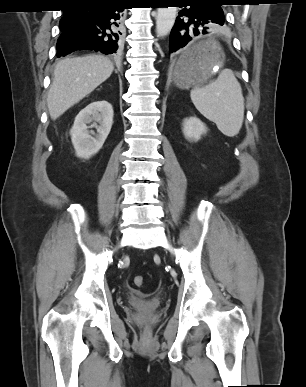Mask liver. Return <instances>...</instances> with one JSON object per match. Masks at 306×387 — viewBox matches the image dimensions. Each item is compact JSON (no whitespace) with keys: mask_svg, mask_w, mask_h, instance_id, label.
Listing matches in <instances>:
<instances>
[{"mask_svg":"<svg viewBox=\"0 0 306 387\" xmlns=\"http://www.w3.org/2000/svg\"><path fill=\"white\" fill-rule=\"evenodd\" d=\"M113 70V63L103 55L93 54L60 60L55 67L47 97L51 118L57 119L93 92L111 76Z\"/></svg>","mask_w":306,"mask_h":387,"instance_id":"obj_1","label":"liver"}]
</instances>
